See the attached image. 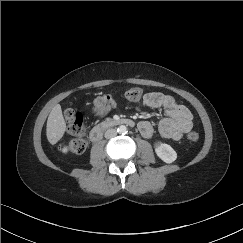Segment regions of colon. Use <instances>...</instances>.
Listing matches in <instances>:
<instances>
[{"instance_id":"obj_1","label":"colon","mask_w":243,"mask_h":243,"mask_svg":"<svg viewBox=\"0 0 243 243\" xmlns=\"http://www.w3.org/2000/svg\"><path fill=\"white\" fill-rule=\"evenodd\" d=\"M141 96L142 90L139 87H132L125 91V97L130 101H138ZM65 119L69 130L76 136V139H73L69 143V149L77 154L83 153L87 147L86 140L83 138L85 133L83 114L79 111L68 109L65 111ZM198 139L199 134L195 131L187 134V140L189 142H196Z\"/></svg>"}]
</instances>
